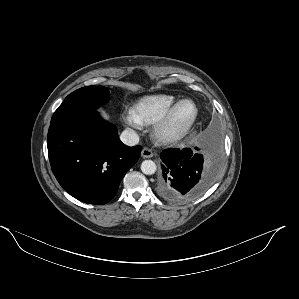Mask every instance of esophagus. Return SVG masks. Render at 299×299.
<instances>
[{
  "label": "esophagus",
  "mask_w": 299,
  "mask_h": 299,
  "mask_svg": "<svg viewBox=\"0 0 299 299\" xmlns=\"http://www.w3.org/2000/svg\"><path fill=\"white\" fill-rule=\"evenodd\" d=\"M141 156L143 158H152L154 156V153L149 148H143L142 151H141Z\"/></svg>",
  "instance_id": "1"
}]
</instances>
